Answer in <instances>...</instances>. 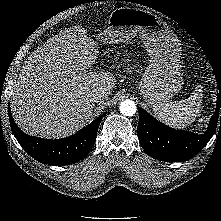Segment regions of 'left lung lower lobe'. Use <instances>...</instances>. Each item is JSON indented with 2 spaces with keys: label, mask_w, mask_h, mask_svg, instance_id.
<instances>
[{
  "label": "left lung lower lobe",
  "mask_w": 221,
  "mask_h": 221,
  "mask_svg": "<svg viewBox=\"0 0 221 221\" xmlns=\"http://www.w3.org/2000/svg\"><path fill=\"white\" fill-rule=\"evenodd\" d=\"M220 105L221 91L219 87L216 111L210 119L208 129L201 135L167 127L138 107L137 134L139 142L147 155L154 159L166 162L189 160L205 147L214 135L219 123V129L221 128Z\"/></svg>",
  "instance_id": "left-lung-lower-lobe-1"
}]
</instances>
